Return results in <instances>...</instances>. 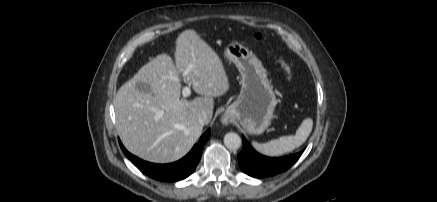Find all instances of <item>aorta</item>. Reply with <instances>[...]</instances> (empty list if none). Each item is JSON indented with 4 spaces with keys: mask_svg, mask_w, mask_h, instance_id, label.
<instances>
[{
    "mask_svg": "<svg viewBox=\"0 0 437 202\" xmlns=\"http://www.w3.org/2000/svg\"><path fill=\"white\" fill-rule=\"evenodd\" d=\"M224 144L230 150H237L241 147L242 140L237 133L229 132L224 136Z\"/></svg>",
    "mask_w": 437,
    "mask_h": 202,
    "instance_id": "1",
    "label": "aorta"
}]
</instances>
